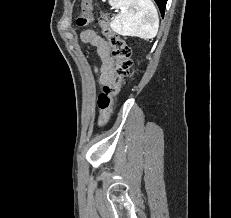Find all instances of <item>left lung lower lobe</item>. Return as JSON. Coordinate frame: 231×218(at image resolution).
Instances as JSON below:
<instances>
[{
    "mask_svg": "<svg viewBox=\"0 0 231 218\" xmlns=\"http://www.w3.org/2000/svg\"><path fill=\"white\" fill-rule=\"evenodd\" d=\"M155 2L157 3V5L159 7V10H160V12H161V14L163 16L167 0H155Z\"/></svg>",
    "mask_w": 231,
    "mask_h": 218,
    "instance_id": "left-lung-lower-lobe-1",
    "label": "left lung lower lobe"
}]
</instances>
